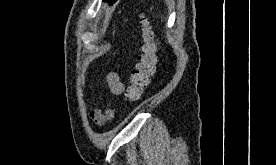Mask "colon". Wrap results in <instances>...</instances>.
<instances>
[{
  "mask_svg": "<svg viewBox=\"0 0 276 165\" xmlns=\"http://www.w3.org/2000/svg\"><path fill=\"white\" fill-rule=\"evenodd\" d=\"M139 24L141 27V47L138 62L131 73L130 85L125 92L126 100L129 102L138 101L150 83L157 67V46L155 36L149 19L140 15Z\"/></svg>",
  "mask_w": 276,
  "mask_h": 165,
  "instance_id": "obj_1",
  "label": "colon"
}]
</instances>
